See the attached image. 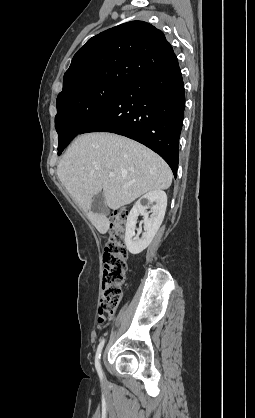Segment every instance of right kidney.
<instances>
[{
  "label": "right kidney",
  "mask_w": 255,
  "mask_h": 418,
  "mask_svg": "<svg viewBox=\"0 0 255 418\" xmlns=\"http://www.w3.org/2000/svg\"><path fill=\"white\" fill-rule=\"evenodd\" d=\"M152 203H155V205L151 207V215L149 217L147 208ZM166 207L167 195L162 190L150 191L143 195L134 204L127 218L125 232V244L127 250L131 254L135 255L141 253L151 243L155 234L160 228V225L162 224ZM139 215L144 216L143 224L145 232L142 234L141 238L135 234L137 218Z\"/></svg>",
  "instance_id": "obj_1"
}]
</instances>
